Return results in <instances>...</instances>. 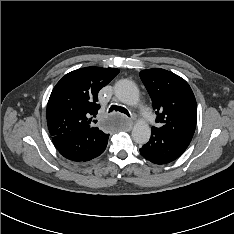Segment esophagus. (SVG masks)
I'll return each mask as SVG.
<instances>
[{"label": "esophagus", "instance_id": "34e87169", "mask_svg": "<svg viewBox=\"0 0 234 234\" xmlns=\"http://www.w3.org/2000/svg\"><path fill=\"white\" fill-rule=\"evenodd\" d=\"M132 121L131 120H127V125L129 126V128H131V126H132Z\"/></svg>", "mask_w": 234, "mask_h": 234}]
</instances>
